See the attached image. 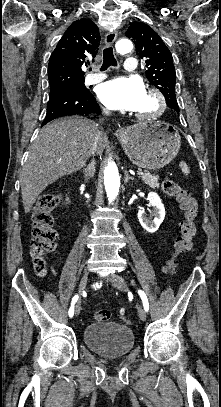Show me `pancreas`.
<instances>
[{
	"label": "pancreas",
	"mask_w": 221,
	"mask_h": 407,
	"mask_svg": "<svg viewBox=\"0 0 221 407\" xmlns=\"http://www.w3.org/2000/svg\"><path fill=\"white\" fill-rule=\"evenodd\" d=\"M141 177H142V180L145 182V184H147L151 188L159 187V182H158L159 177L157 175H152L149 172H143V175H141Z\"/></svg>",
	"instance_id": "obj_1"
}]
</instances>
